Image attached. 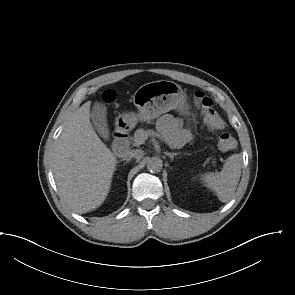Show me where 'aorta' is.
Here are the masks:
<instances>
[{
	"mask_svg": "<svg viewBox=\"0 0 295 295\" xmlns=\"http://www.w3.org/2000/svg\"><path fill=\"white\" fill-rule=\"evenodd\" d=\"M162 166V160L158 157H151L147 162V169L151 172H160Z\"/></svg>",
	"mask_w": 295,
	"mask_h": 295,
	"instance_id": "1",
	"label": "aorta"
}]
</instances>
